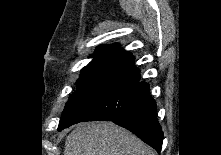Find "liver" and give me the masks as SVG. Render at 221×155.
<instances>
[{
    "label": "liver",
    "instance_id": "liver-1",
    "mask_svg": "<svg viewBox=\"0 0 221 155\" xmlns=\"http://www.w3.org/2000/svg\"><path fill=\"white\" fill-rule=\"evenodd\" d=\"M64 155H156L131 132L112 122L78 124L67 136Z\"/></svg>",
    "mask_w": 221,
    "mask_h": 155
}]
</instances>
